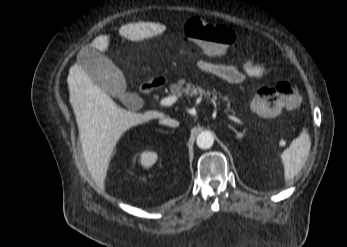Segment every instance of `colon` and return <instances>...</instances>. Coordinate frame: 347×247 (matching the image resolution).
I'll return each mask as SVG.
<instances>
[{
    "instance_id": "5ec220e1",
    "label": "colon",
    "mask_w": 347,
    "mask_h": 247,
    "mask_svg": "<svg viewBox=\"0 0 347 247\" xmlns=\"http://www.w3.org/2000/svg\"><path fill=\"white\" fill-rule=\"evenodd\" d=\"M185 32L190 40L213 57L223 56L236 37L235 32L229 27L199 18L190 19L186 23ZM299 104V91L288 82H281L273 87H262L252 102L253 108L261 116L279 115L296 109Z\"/></svg>"
}]
</instances>
